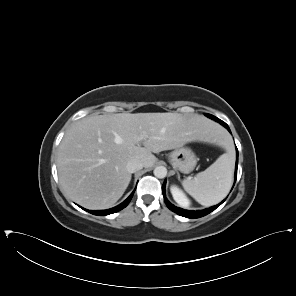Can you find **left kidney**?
<instances>
[{"instance_id": "left-kidney-1", "label": "left kidney", "mask_w": 296, "mask_h": 296, "mask_svg": "<svg viewBox=\"0 0 296 296\" xmlns=\"http://www.w3.org/2000/svg\"><path fill=\"white\" fill-rule=\"evenodd\" d=\"M171 194L173 199L181 206V207H188L190 205L189 199L186 197L184 192L177 186L172 185L170 187Z\"/></svg>"}]
</instances>
